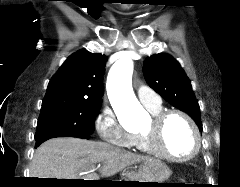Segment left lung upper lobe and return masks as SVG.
Here are the masks:
<instances>
[{
    "instance_id": "obj_1",
    "label": "left lung upper lobe",
    "mask_w": 240,
    "mask_h": 187,
    "mask_svg": "<svg viewBox=\"0 0 240 187\" xmlns=\"http://www.w3.org/2000/svg\"><path fill=\"white\" fill-rule=\"evenodd\" d=\"M143 73L154 91L172 106L190 115L202 131L198 101L189 78L176 59L165 53L154 54L145 59Z\"/></svg>"
}]
</instances>
